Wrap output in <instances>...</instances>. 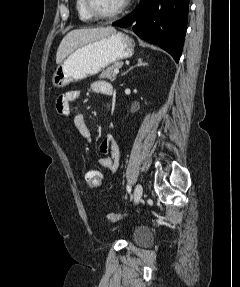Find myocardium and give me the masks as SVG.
<instances>
[{"label": "myocardium", "instance_id": "1", "mask_svg": "<svg viewBox=\"0 0 240 287\" xmlns=\"http://www.w3.org/2000/svg\"><path fill=\"white\" fill-rule=\"evenodd\" d=\"M129 0H123L122 3L111 12H101L95 5L94 0H85L87 11L96 19L107 20L112 19L121 14L128 6Z\"/></svg>", "mask_w": 240, "mask_h": 287}]
</instances>
